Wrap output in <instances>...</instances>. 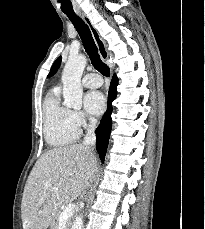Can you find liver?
I'll return each instance as SVG.
<instances>
[{
	"label": "liver",
	"mask_w": 205,
	"mask_h": 229,
	"mask_svg": "<svg viewBox=\"0 0 205 229\" xmlns=\"http://www.w3.org/2000/svg\"><path fill=\"white\" fill-rule=\"evenodd\" d=\"M96 170V156L83 145L44 152L24 187L21 203L24 229H47L60 206L79 197ZM52 187H57V190Z\"/></svg>",
	"instance_id": "6515ba94"
}]
</instances>
